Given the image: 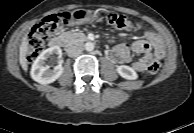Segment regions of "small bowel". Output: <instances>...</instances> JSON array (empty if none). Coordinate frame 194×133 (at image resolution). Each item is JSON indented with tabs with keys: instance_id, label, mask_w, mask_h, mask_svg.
Here are the masks:
<instances>
[{
	"instance_id": "small-bowel-1",
	"label": "small bowel",
	"mask_w": 194,
	"mask_h": 133,
	"mask_svg": "<svg viewBox=\"0 0 194 133\" xmlns=\"http://www.w3.org/2000/svg\"><path fill=\"white\" fill-rule=\"evenodd\" d=\"M131 30L138 32L140 25L133 23ZM144 36V40H137L131 45H116L111 50L110 57L117 63L130 64L132 69L137 72L147 70L153 61L160 60L164 57L165 47L161 37L153 29H146ZM132 53L142 55V57L136 61H132Z\"/></svg>"
}]
</instances>
